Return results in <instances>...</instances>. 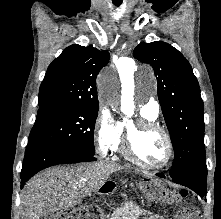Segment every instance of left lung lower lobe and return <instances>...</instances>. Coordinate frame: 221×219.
Returning a JSON list of instances; mask_svg holds the SVG:
<instances>
[{
    "instance_id": "left-lung-lower-lobe-1",
    "label": "left lung lower lobe",
    "mask_w": 221,
    "mask_h": 219,
    "mask_svg": "<svg viewBox=\"0 0 221 219\" xmlns=\"http://www.w3.org/2000/svg\"><path fill=\"white\" fill-rule=\"evenodd\" d=\"M158 177L165 178L163 174H156ZM172 181L190 188L201 197L206 195L207 166L199 165L189 168L175 176H170Z\"/></svg>"
}]
</instances>
